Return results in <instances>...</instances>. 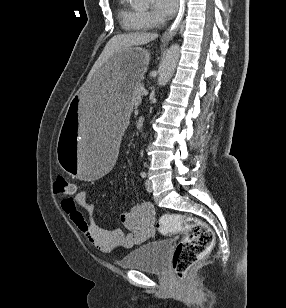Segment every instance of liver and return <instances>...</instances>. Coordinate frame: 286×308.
Instances as JSON below:
<instances>
[{
    "mask_svg": "<svg viewBox=\"0 0 286 308\" xmlns=\"http://www.w3.org/2000/svg\"><path fill=\"white\" fill-rule=\"evenodd\" d=\"M157 37L158 35L156 33L140 32L115 35L104 47L101 55L92 67L87 79H90L94 73L103 65V63H105L115 53L128 47L147 44L155 40Z\"/></svg>",
    "mask_w": 286,
    "mask_h": 308,
    "instance_id": "obj_1",
    "label": "liver"
}]
</instances>
